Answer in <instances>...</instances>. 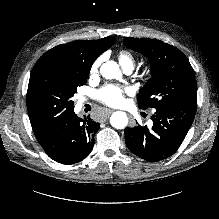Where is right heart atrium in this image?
<instances>
[{"instance_id":"1","label":"right heart atrium","mask_w":219,"mask_h":219,"mask_svg":"<svg viewBox=\"0 0 219 219\" xmlns=\"http://www.w3.org/2000/svg\"><path fill=\"white\" fill-rule=\"evenodd\" d=\"M100 63H101V59H98L93 63L91 67V73H96L98 71Z\"/></svg>"}]
</instances>
